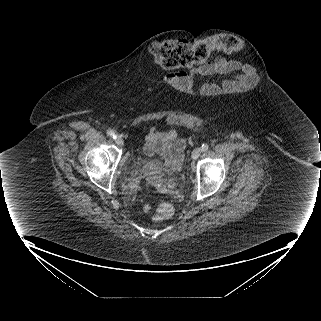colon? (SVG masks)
<instances>
[{
  "instance_id": "obj_1",
  "label": "colon",
  "mask_w": 321,
  "mask_h": 321,
  "mask_svg": "<svg viewBox=\"0 0 321 321\" xmlns=\"http://www.w3.org/2000/svg\"><path fill=\"white\" fill-rule=\"evenodd\" d=\"M240 49V40L229 34H220L197 42L186 40L158 41L151 45L150 53L154 61L165 69H176L204 63L216 52L234 53ZM145 213L152 210L150 204L143 207ZM174 212L168 202L156 207V221L169 218Z\"/></svg>"
}]
</instances>
